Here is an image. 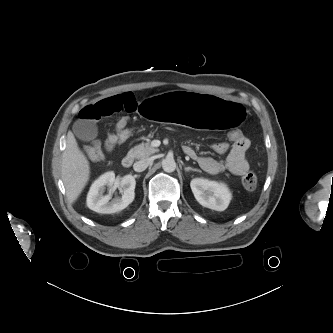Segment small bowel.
Wrapping results in <instances>:
<instances>
[{"instance_id":"obj_1","label":"small bowel","mask_w":333,"mask_h":333,"mask_svg":"<svg viewBox=\"0 0 333 333\" xmlns=\"http://www.w3.org/2000/svg\"><path fill=\"white\" fill-rule=\"evenodd\" d=\"M137 101L132 93L126 92L117 94L108 98L101 99L93 104L86 105L79 110V118L84 123H91L99 120L102 117L112 115L116 112H134L137 109ZM128 117H122L116 127L124 126L128 123ZM118 144L116 134H110L104 144L107 151H111ZM101 143L97 139H91L90 145L87 148H101ZM250 147L248 138L243 137L241 140L233 142L230 146L224 143L215 144L214 150L219 153H224L229 150L224 162L218 161L209 156H199L190 146L184 147V152L190 158L196 160L200 167L210 174H218L224 170L242 176L248 169L249 164L246 159V153Z\"/></svg>"}]
</instances>
